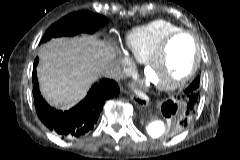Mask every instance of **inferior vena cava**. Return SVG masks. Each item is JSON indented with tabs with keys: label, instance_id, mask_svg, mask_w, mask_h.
Returning <instances> with one entry per match:
<instances>
[{
	"label": "inferior vena cava",
	"instance_id": "1",
	"mask_svg": "<svg viewBox=\"0 0 240 160\" xmlns=\"http://www.w3.org/2000/svg\"><path fill=\"white\" fill-rule=\"evenodd\" d=\"M99 72L101 76L111 79H115L120 76L119 69L112 64L102 67Z\"/></svg>",
	"mask_w": 240,
	"mask_h": 160
}]
</instances>
